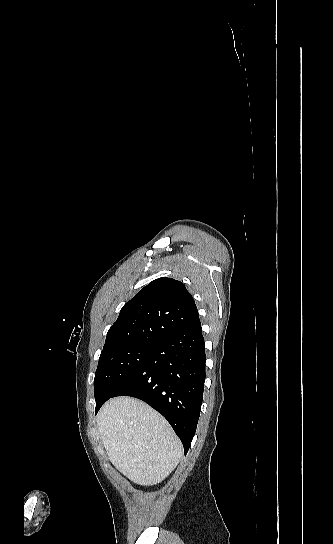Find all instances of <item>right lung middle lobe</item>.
I'll return each instance as SVG.
<instances>
[{
	"mask_svg": "<svg viewBox=\"0 0 333 544\" xmlns=\"http://www.w3.org/2000/svg\"><path fill=\"white\" fill-rule=\"evenodd\" d=\"M152 348L153 343L131 344L101 352L94 379L96 410L129 382Z\"/></svg>",
	"mask_w": 333,
	"mask_h": 544,
	"instance_id": "obj_1",
	"label": "right lung middle lobe"
}]
</instances>
